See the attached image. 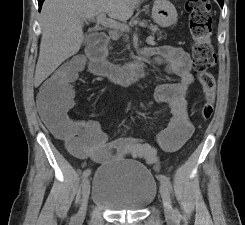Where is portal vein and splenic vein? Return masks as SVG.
I'll return each instance as SVG.
<instances>
[{
	"label": "portal vein and splenic vein",
	"mask_w": 245,
	"mask_h": 225,
	"mask_svg": "<svg viewBox=\"0 0 245 225\" xmlns=\"http://www.w3.org/2000/svg\"><path fill=\"white\" fill-rule=\"evenodd\" d=\"M96 21H97V23H99L102 26L107 27V28L119 29L121 31L129 30V26L128 25L122 24V23H120V22H118V21H116L114 19L107 18L104 13L99 14L96 17ZM147 41L154 42V37L153 36H149L147 38Z\"/></svg>",
	"instance_id": "1"
}]
</instances>
